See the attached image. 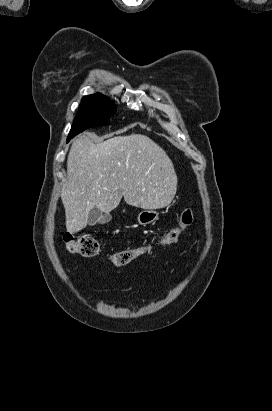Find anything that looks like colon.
Masks as SVG:
<instances>
[{
    "label": "colon",
    "instance_id": "5ec220e1",
    "mask_svg": "<svg viewBox=\"0 0 272 411\" xmlns=\"http://www.w3.org/2000/svg\"><path fill=\"white\" fill-rule=\"evenodd\" d=\"M193 222V212L191 209L183 211L178 225L167 232L159 241L161 245L174 244L179 240L182 232L189 227ZM63 241L67 249L74 254L82 257H94L100 252V243L92 235H83L76 238L71 233L63 235ZM147 251L146 247L140 246L135 248H128L113 254L110 261L115 266H124Z\"/></svg>",
    "mask_w": 272,
    "mask_h": 411
}]
</instances>
